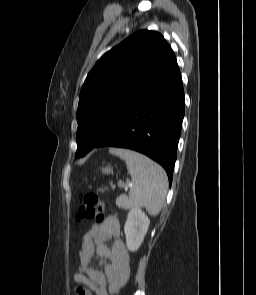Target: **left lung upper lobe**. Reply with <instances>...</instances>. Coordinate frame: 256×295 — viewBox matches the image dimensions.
<instances>
[{
	"label": "left lung upper lobe",
	"mask_w": 256,
	"mask_h": 295,
	"mask_svg": "<svg viewBox=\"0 0 256 295\" xmlns=\"http://www.w3.org/2000/svg\"><path fill=\"white\" fill-rule=\"evenodd\" d=\"M177 70L173 50L155 31H138L105 53L80 92L75 156L93 149Z\"/></svg>",
	"instance_id": "obj_1"
}]
</instances>
